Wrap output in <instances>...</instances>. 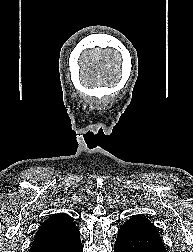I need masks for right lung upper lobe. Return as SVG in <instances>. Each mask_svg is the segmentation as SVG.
Wrapping results in <instances>:
<instances>
[{"label": "right lung upper lobe", "instance_id": "cb5924a9", "mask_svg": "<svg viewBox=\"0 0 193 252\" xmlns=\"http://www.w3.org/2000/svg\"><path fill=\"white\" fill-rule=\"evenodd\" d=\"M77 230L70 216L63 213L55 214L41 224L32 246L56 241Z\"/></svg>", "mask_w": 193, "mask_h": 252}]
</instances>
